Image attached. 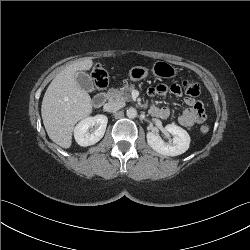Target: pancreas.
<instances>
[{"label":"pancreas","instance_id":"cf45deb5","mask_svg":"<svg viewBox=\"0 0 250 250\" xmlns=\"http://www.w3.org/2000/svg\"><path fill=\"white\" fill-rule=\"evenodd\" d=\"M134 89V86H124L120 89H110L108 91L109 101L116 102H129L131 101V91Z\"/></svg>","mask_w":250,"mask_h":250}]
</instances>
